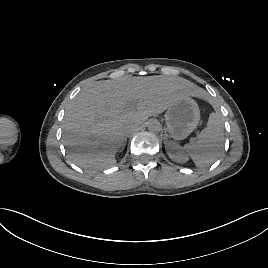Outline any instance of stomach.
Segmentation results:
<instances>
[{
    "instance_id": "1",
    "label": "stomach",
    "mask_w": 268,
    "mask_h": 268,
    "mask_svg": "<svg viewBox=\"0 0 268 268\" xmlns=\"http://www.w3.org/2000/svg\"><path fill=\"white\" fill-rule=\"evenodd\" d=\"M165 122L171 137L176 140L185 139L200 122L198 104L189 96L181 98L167 109Z\"/></svg>"
}]
</instances>
